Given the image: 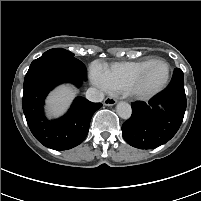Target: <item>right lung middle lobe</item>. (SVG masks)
Returning <instances> with one entry per match:
<instances>
[{
    "label": "right lung middle lobe",
    "mask_w": 201,
    "mask_h": 201,
    "mask_svg": "<svg viewBox=\"0 0 201 201\" xmlns=\"http://www.w3.org/2000/svg\"><path fill=\"white\" fill-rule=\"evenodd\" d=\"M52 53H58V54L65 55V56L70 57V58H74V54L73 53H71L70 51H67L65 49H61V48L50 49L47 52H45L43 55L52 54ZM78 63L81 66V72H82V74L86 77L87 76V70H86L84 64L81 61H79V60H78Z\"/></svg>",
    "instance_id": "obj_1"
}]
</instances>
